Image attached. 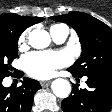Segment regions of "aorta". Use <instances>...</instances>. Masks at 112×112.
<instances>
[{"label": "aorta", "instance_id": "1", "mask_svg": "<svg viewBox=\"0 0 112 112\" xmlns=\"http://www.w3.org/2000/svg\"><path fill=\"white\" fill-rule=\"evenodd\" d=\"M29 44L35 49H44L49 46L51 39L47 31L34 29L28 36ZM53 93L59 98H67L71 93V84L63 78L55 79L51 84Z\"/></svg>", "mask_w": 112, "mask_h": 112}]
</instances>
